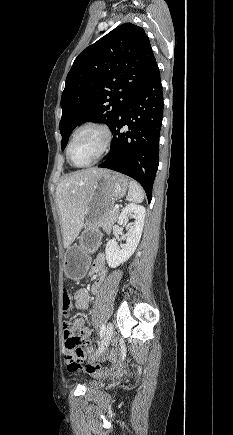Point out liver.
Instances as JSON below:
<instances>
[{"instance_id": "liver-1", "label": "liver", "mask_w": 233, "mask_h": 435, "mask_svg": "<svg viewBox=\"0 0 233 435\" xmlns=\"http://www.w3.org/2000/svg\"><path fill=\"white\" fill-rule=\"evenodd\" d=\"M106 169L89 168L73 172L64 178L56 188L63 231L64 248H69L84 224L85 209L94 188L95 181Z\"/></svg>"}]
</instances>
